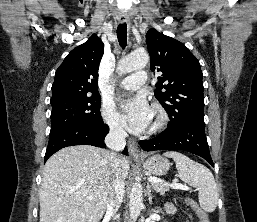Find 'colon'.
<instances>
[{
	"mask_svg": "<svg viewBox=\"0 0 257 222\" xmlns=\"http://www.w3.org/2000/svg\"><path fill=\"white\" fill-rule=\"evenodd\" d=\"M196 213L199 217L200 222H209V218H208V215L206 214V212H204L201 209H197Z\"/></svg>",
	"mask_w": 257,
	"mask_h": 222,
	"instance_id": "5ec220e1",
	"label": "colon"
}]
</instances>
